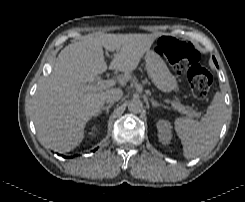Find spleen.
Segmentation results:
<instances>
[{
  "mask_svg": "<svg viewBox=\"0 0 245 202\" xmlns=\"http://www.w3.org/2000/svg\"><path fill=\"white\" fill-rule=\"evenodd\" d=\"M225 110L223 95L217 92L200 122L186 117L174 120L185 158H195L213 147L224 123Z\"/></svg>",
  "mask_w": 245,
  "mask_h": 202,
  "instance_id": "1",
  "label": "spleen"
}]
</instances>
